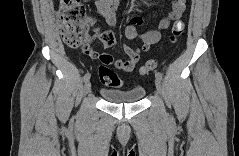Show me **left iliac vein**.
Instances as JSON below:
<instances>
[{"label":"left iliac vein","instance_id":"4c4485c4","mask_svg":"<svg viewBox=\"0 0 239 156\" xmlns=\"http://www.w3.org/2000/svg\"><path fill=\"white\" fill-rule=\"evenodd\" d=\"M155 85H156L157 93L161 94V81L157 78L155 79Z\"/></svg>","mask_w":239,"mask_h":156}]
</instances>
